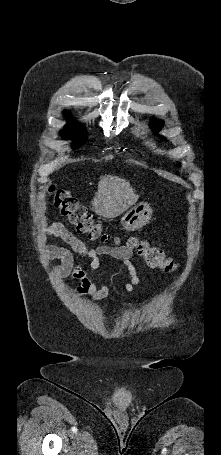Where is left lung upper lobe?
<instances>
[{
    "instance_id": "1",
    "label": "left lung upper lobe",
    "mask_w": 221,
    "mask_h": 455,
    "mask_svg": "<svg viewBox=\"0 0 221 455\" xmlns=\"http://www.w3.org/2000/svg\"><path fill=\"white\" fill-rule=\"evenodd\" d=\"M151 128L153 129L154 132H158L160 128L163 126V122L161 120H155L150 123Z\"/></svg>"
}]
</instances>
